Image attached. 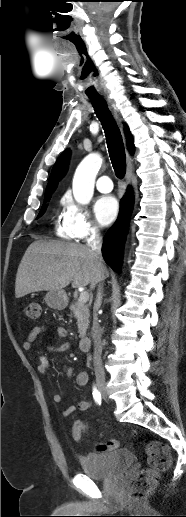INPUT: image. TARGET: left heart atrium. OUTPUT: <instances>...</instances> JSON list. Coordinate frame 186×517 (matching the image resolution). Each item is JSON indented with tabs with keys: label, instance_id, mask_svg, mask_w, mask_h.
Instances as JSON below:
<instances>
[{
	"label": "left heart atrium",
	"instance_id": "obj_1",
	"mask_svg": "<svg viewBox=\"0 0 186 517\" xmlns=\"http://www.w3.org/2000/svg\"><path fill=\"white\" fill-rule=\"evenodd\" d=\"M94 212L101 225H109L118 214V202L113 196L100 197L94 205Z\"/></svg>",
	"mask_w": 186,
	"mask_h": 517
}]
</instances>
